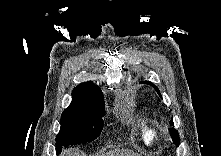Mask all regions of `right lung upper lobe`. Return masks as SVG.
Listing matches in <instances>:
<instances>
[{"mask_svg": "<svg viewBox=\"0 0 221 156\" xmlns=\"http://www.w3.org/2000/svg\"><path fill=\"white\" fill-rule=\"evenodd\" d=\"M102 104H104V98L100 88L90 81L78 85L72 91V102L70 106Z\"/></svg>", "mask_w": 221, "mask_h": 156, "instance_id": "obj_1", "label": "right lung upper lobe"}]
</instances>
